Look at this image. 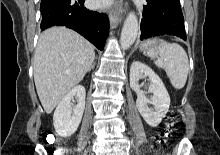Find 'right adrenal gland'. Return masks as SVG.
Here are the masks:
<instances>
[{"label": "right adrenal gland", "mask_w": 220, "mask_h": 155, "mask_svg": "<svg viewBox=\"0 0 220 155\" xmlns=\"http://www.w3.org/2000/svg\"><path fill=\"white\" fill-rule=\"evenodd\" d=\"M94 68H95V62L92 63V65H91L89 71L92 70V69H94Z\"/></svg>", "instance_id": "right-adrenal-gland-1"}]
</instances>
